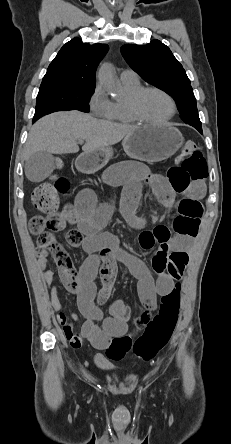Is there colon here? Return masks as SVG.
<instances>
[{
    "label": "colon",
    "mask_w": 231,
    "mask_h": 444,
    "mask_svg": "<svg viewBox=\"0 0 231 444\" xmlns=\"http://www.w3.org/2000/svg\"><path fill=\"white\" fill-rule=\"evenodd\" d=\"M208 177L206 160L196 144L185 142L182 148L180 163L168 171L169 180L179 188L193 182L203 181ZM69 183L58 177L37 186L32 192L33 205L43 214L31 218L29 230L38 236V245L50 255L57 265L61 278L67 289H78V278L72 260L67 251L57 242L50 232H56L72 224L69 210H58V196L66 192ZM202 207L196 201L183 199L179 204V215L173 222L176 234L194 237L198 233ZM160 236L170 235L165 226L156 227ZM180 303V286L161 299L158 313L152 315L143 311L135 320V330L143 329L136 339L130 334L115 337L107 348L106 356L114 361L126 359L132 355L144 360H152L169 342L175 329Z\"/></svg>",
    "instance_id": "5ec220e1"
}]
</instances>
